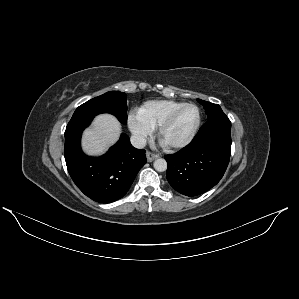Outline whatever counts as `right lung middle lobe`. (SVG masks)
<instances>
[{
    "label": "right lung middle lobe",
    "instance_id": "1",
    "mask_svg": "<svg viewBox=\"0 0 299 299\" xmlns=\"http://www.w3.org/2000/svg\"><path fill=\"white\" fill-rule=\"evenodd\" d=\"M100 113L114 114L122 124L127 123L126 94L109 91L80 105L72 118L96 116Z\"/></svg>",
    "mask_w": 299,
    "mask_h": 299
}]
</instances>
